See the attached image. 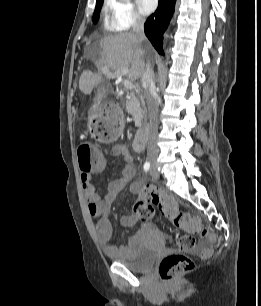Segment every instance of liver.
<instances>
[{
    "label": "liver",
    "instance_id": "1",
    "mask_svg": "<svg viewBox=\"0 0 261 306\" xmlns=\"http://www.w3.org/2000/svg\"><path fill=\"white\" fill-rule=\"evenodd\" d=\"M102 49L101 68L113 70L115 73L128 68V79L135 81L142 76L145 68L141 41L134 33L110 35L100 40ZM102 72L83 71L79 79V89L84 94H90L101 82Z\"/></svg>",
    "mask_w": 261,
    "mask_h": 306
}]
</instances>
